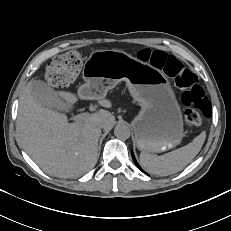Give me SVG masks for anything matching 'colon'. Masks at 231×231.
Returning <instances> with one entry per match:
<instances>
[{"label": "colon", "mask_w": 231, "mask_h": 231, "mask_svg": "<svg viewBox=\"0 0 231 231\" xmlns=\"http://www.w3.org/2000/svg\"><path fill=\"white\" fill-rule=\"evenodd\" d=\"M139 57L149 61L174 79L182 89L181 100L186 110L184 124L186 128H194L210 116L211 104L196 75L174 56L163 51L142 50ZM82 68L81 55L76 51L66 52L53 59L46 67L47 80L56 86H62L73 81Z\"/></svg>", "instance_id": "obj_1"}]
</instances>
